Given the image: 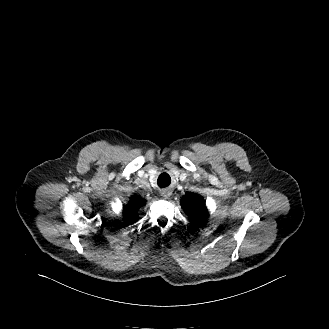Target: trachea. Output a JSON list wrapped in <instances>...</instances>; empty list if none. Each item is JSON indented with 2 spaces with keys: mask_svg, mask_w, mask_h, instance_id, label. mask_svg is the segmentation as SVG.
<instances>
[{
  "mask_svg": "<svg viewBox=\"0 0 329 329\" xmlns=\"http://www.w3.org/2000/svg\"><path fill=\"white\" fill-rule=\"evenodd\" d=\"M158 184H159V186H161V187L166 186V185L164 184V182H163V176H160V177H159V179H158Z\"/></svg>",
  "mask_w": 329,
  "mask_h": 329,
  "instance_id": "obj_1",
  "label": "trachea"
}]
</instances>
